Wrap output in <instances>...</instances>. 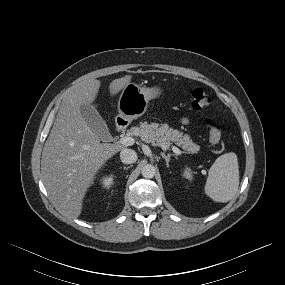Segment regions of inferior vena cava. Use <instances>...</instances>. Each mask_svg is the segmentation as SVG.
<instances>
[{
    "label": "inferior vena cava",
    "mask_w": 285,
    "mask_h": 285,
    "mask_svg": "<svg viewBox=\"0 0 285 285\" xmlns=\"http://www.w3.org/2000/svg\"><path fill=\"white\" fill-rule=\"evenodd\" d=\"M121 161L125 164H131L137 161V153L132 149H123L120 152Z\"/></svg>",
    "instance_id": "602c4592"
}]
</instances>
